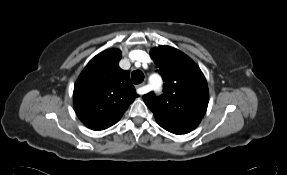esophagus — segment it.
I'll use <instances>...</instances> for the list:
<instances>
[{
    "label": "esophagus",
    "mask_w": 287,
    "mask_h": 175,
    "mask_svg": "<svg viewBox=\"0 0 287 175\" xmlns=\"http://www.w3.org/2000/svg\"><path fill=\"white\" fill-rule=\"evenodd\" d=\"M137 91L140 95H143L145 93L144 91V83L137 85Z\"/></svg>",
    "instance_id": "obj_1"
}]
</instances>
